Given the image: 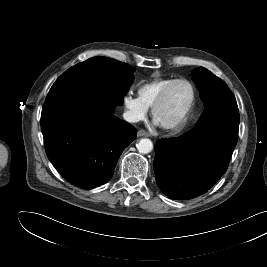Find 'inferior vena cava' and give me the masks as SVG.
Wrapping results in <instances>:
<instances>
[{"mask_svg":"<svg viewBox=\"0 0 267 267\" xmlns=\"http://www.w3.org/2000/svg\"><path fill=\"white\" fill-rule=\"evenodd\" d=\"M123 118L129 123H136L139 121L137 115L131 111L124 112Z\"/></svg>","mask_w":267,"mask_h":267,"instance_id":"inferior-vena-cava-1","label":"inferior vena cava"}]
</instances>
